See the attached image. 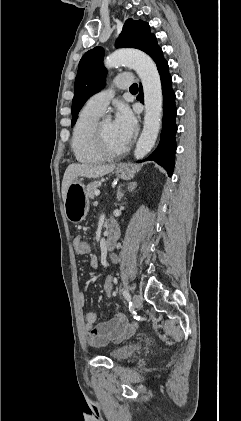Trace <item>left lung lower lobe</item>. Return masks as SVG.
I'll return each instance as SVG.
<instances>
[{"instance_id":"left-lung-lower-lobe-1","label":"left lung lower lobe","mask_w":241,"mask_h":421,"mask_svg":"<svg viewBox=\"0 0 241 421\" xmlns=\"http://www.w3.org/2000/svg\"><path fill=\"white\" fill-rule=\"evenodd\" d=\"M144 52L155 61L160 74L163 91V120L159 145L156 150L143 161L154 160L164 167L169 176H171L174 169V156L176 151L175 134L177 132L175 122L177 109L175 105V93L172 90V79L168 71V63L163 57L162 49L158 46L155 36L151 39ZM140 92H142V87H140Z\"/></svg>"}]
</instances>
